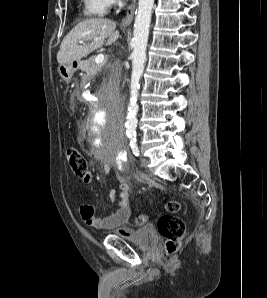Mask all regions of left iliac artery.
Returning a JSON list of instances; mask_svg holds the SVG:
<instances>
[{
	"label": "left iliac artery",
	"mask_w": 267,
	"mask_h": 298,
	"mask_svg": "<svg viewBox=\"0 0 267 298\" xmlns=\"http://www.w3.org/2000/svg\"><path fill=\"white\" fill-rule=\"evenodd\" d=\"M130 139V147L132 149V152L135 156H139L140 152H139V148H138V144H137V139H136V135L135 136H129Z\"/></svg>",
	"instance_id": "1"
}]
</instances>
